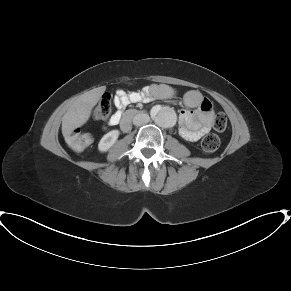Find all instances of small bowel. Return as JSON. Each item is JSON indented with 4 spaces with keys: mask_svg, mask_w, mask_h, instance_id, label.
Here are the masks:
<instances>
[{
    "mask_svg": "<svg viewBox=\"0 0 291 291\" xmlns=\"http://www.w3.org/2000/svg\"><path fill=\"white\" fill-rule=\"evenodd\" d=\"M176 91L173 87L161 84L152 85L145 92L119 91L114 98L116 111L109 120V125L117 124L124 109L130 102L150 101L153 99H173ZM184 104L192 110H182L179 114V133L188 141H197L207 134L213 123V113L210 111V102L198 90H190L184 96Z\"/></svg>",
    "mask_w": 291,
    "mask_h": 291,
    "instance_id": "small-bowel-1",
    "label": "small bowel"
}]
</instances>
